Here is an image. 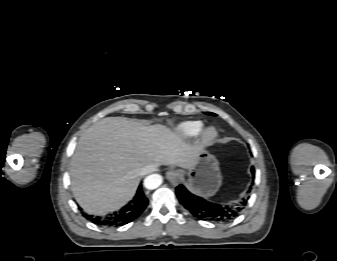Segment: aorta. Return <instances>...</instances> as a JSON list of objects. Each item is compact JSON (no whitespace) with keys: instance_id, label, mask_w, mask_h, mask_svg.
<instances>
[{"instance_id":"762f6f07","label":"aorta","mask_w":337,"mask_h":261,"mask_svg":"<svg viewBox=\"0 0 337 261\" xmlns=\"http://www.w3.org/2000/svg\"><path fill=\"white\" fill-rule=\"evenodd\" d=\"M163 178L159 174H151L144 179V186L149 190L158 188L162 184Z\"/></svg>"}]
</instances>
